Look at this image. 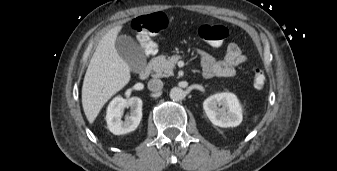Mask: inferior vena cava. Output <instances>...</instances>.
<instances>
[{"instance_id": "inferior-vena-cava-1", "label": "inferior vena cava", "mask_w": 337, "mask_h": 171, "mask_svg": "<svg viewBox=\"0 0 337 171\" xmlns=\"http://www.w3.org/2000/svg\"><path fill=\"white\" fill-rule=\"evenodd\" d=\"M163 88V82L160 79H151L148 82V89L152 92H159Z\"/></svg>"}]
</instances>
